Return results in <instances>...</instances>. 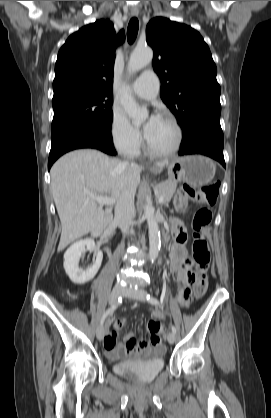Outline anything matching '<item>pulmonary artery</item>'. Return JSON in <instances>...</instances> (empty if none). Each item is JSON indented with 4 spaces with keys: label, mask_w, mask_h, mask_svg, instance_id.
<instances>
[{
    "label": "pulmonary artery",
    "mask_w": 271,
    "mask_h": 418,
    "mask_svg": "<svg viewBox=\"0 0 271 418\" xmlns=\"http://www.w3.org/2000/svg\"><path fill=\"white\" fill-rule=\"evenodd\" d=\"M132 91L144 99L155 98L159 91V80L152 70L144 71L132 84Z\"/></svg>",
    "instance_id": "e3ab8cb5"
}]
</instances>
